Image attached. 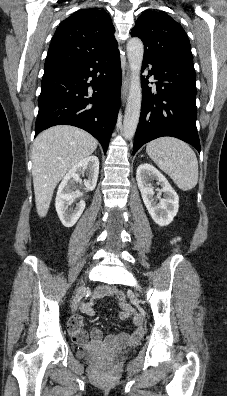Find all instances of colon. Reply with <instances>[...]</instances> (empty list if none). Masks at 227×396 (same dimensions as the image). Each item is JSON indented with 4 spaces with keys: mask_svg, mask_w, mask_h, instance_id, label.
I'll return each instance as SVG.
<instances>
[{
    "mask_svg": "<svg viewBox=\"0 0 227 396\" xmlns=\"http://www.w3.org/2000/svg\"><path fill=\"white\" fill-rule=\"evenodd\" d=\"M118 298L124 299V295H123L122 293H120V294L118 295Z\"/></svg>",
    "mask_w": 227,
    "mask_h": 396,
    "instance_id": "5ec220e1",
    "label": "colon"
}]
</instances>
